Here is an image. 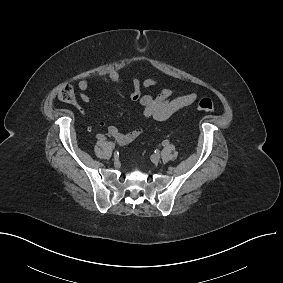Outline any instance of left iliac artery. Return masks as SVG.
Returning a JSON list of instances; mask_svg holds the SVG:
<instances>
[{
    "label": "left iliac artery",
    "mask_w": 283,
    "mask_h": 283,
    "mask_svg": "<svg viewBox=\"0 0 283 283\" xmlns=\"http://www.w3.org/2000/svg\"><path fill=\"white\" fill-rule=\"evenodd\" d=\"M169 144V141L168 140H164L163 142H162V145L163 146H167Z\"/></svg>",
    "instance_id": "left-iliac-artery-1"
}]
</instances>
